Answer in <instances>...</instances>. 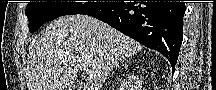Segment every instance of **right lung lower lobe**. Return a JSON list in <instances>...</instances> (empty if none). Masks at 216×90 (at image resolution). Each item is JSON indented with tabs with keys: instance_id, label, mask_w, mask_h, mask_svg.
Masks as SVG:
<instances>
[{
	"instance_id": "1",
	"label": "right lung lower lobe",
	"mask_w": 216,
	"mask_h": 90,
	"mask_svg": "<svg viewBox=\"0 0 216 90\" xmlns=\"http://www.w3.org/2000/svg\"><path fill=\"white\" fill-rule=\"evenodd\" d=\"M184 2H109L81 14L93 16L162 53L172 69L183 40Z\"/></svg>"
}]
</instances>
